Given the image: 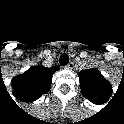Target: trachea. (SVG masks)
Here are the masks:
<instances>
[{
    "label": "trachea",
    "mask_w": 124,
    "mask_h": 124,
    "mask_svg": "<svg viewBox=\"0 0 124 124\" xmlns=\"http://www.w3.org/2000/svg\"><path fill=\"white\" fill-rule=\"evenodd\" d=\"M59 63L63 66L67 65L69 63V56L64 53L59 58Z\"/></svg>",
    "instance_id": "1"
}]
</instances>
